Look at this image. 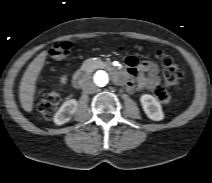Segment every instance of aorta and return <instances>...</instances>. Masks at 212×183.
<instances>
[{"mask_svg": "<svg viewBox=\"0 0 212 183\" xmlns=\"http://www.w3.org/2000/svg\"><path fill=\"white\" fill-rule=\"evenodd\" d=\"M110 74L105 70H99L91 74L90 82L98 87H104L109 83Z\"/></svg>", "mask_w": 212, "mask_h": 183, "instance_id": "1", "label": "aorta"}]
</instances>
